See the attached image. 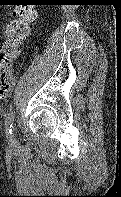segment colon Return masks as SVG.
Returning <instances> with one entry per match:
<instances>
[{
	"label": "colon",
	"mask_w": 121,
	"mask_h": 197,
	"mask_svg": "<svg viewBox=\"0 0 121 197\" xmlns=\"http://www.w3.org/2000/svg\"><path fill=\"white\" fill-rule=\"evenodd\" d=\"M12 21L7 25L5 40L0 49V98L6 97L13 85L12 63L19 54L29 26L36 19V10L30 4L16 1Z\"/></svg>",
	"instance_id": "1"
}]
</instances>
